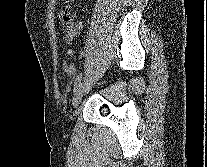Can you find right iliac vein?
I'll use <instances>...</instances> for the list:
<instances>
[{
  "label": "right iliac vein",
  "instance_id": "obj_1",
  "mask_svg": "<svg viewBox=\"0 0 207 167\" xmlns=\"http://www.w3.org/2000/svg\"><path fill=\"white\" fill-rule=\"evenodd\" d=\"M83 93H84V86L83 84H80L76 89V91L74 92V96L72 99V106L74 108H76L80 104L83 97Z\"/></svg>",
  "mask_w": 207,
  "mask_h": 167
}]
</instances>
